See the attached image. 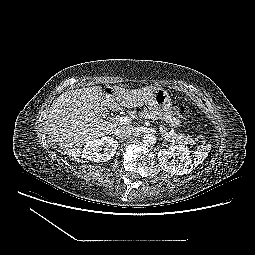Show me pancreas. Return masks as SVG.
I'll list each match as a JSON object with an SVG mask.
<instances>
[{"mask_svg":"<svg viewBox=\"0 0 255 255\" xmlns=\"http://www.w3.org/2000/svg\"><path fill=\"white\" fill-rule=\"evenodd\" d=\"M139 116L141 117L146 116L151 118L156 117L155 114L147 110L142 111ZM162 137L172 143H182L186 145L194 144V140L190 138L189 136H185L184 134H180V133H175L173 131L167 132L166 130H164Z\"/></svg>","mask_w":255,"mask_h":255,"instance_id":"cf45deb5","label":"pancreas"}]
</instances>
